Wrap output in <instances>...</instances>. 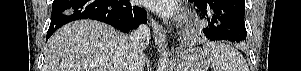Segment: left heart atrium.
I'll use <instances>...</instances> for the list:
<instances>
[{
  "label": "left heart atrium",
  "instance_id": "39dd6f15",
  "mask_svg": "<svg viewBox=\"0 0 301 71\" xmlns=\"http://www.w3.org/2000/svg\"><path fill=\"white\" fill-rule=\"evenodd\" d=\"M144 4L148 8L168 17L180 18L182 15L180 5L173 0H145Z\"/></svg>",
  "mask_w": 301,
  "mask_h": 71
}]
</instances>
